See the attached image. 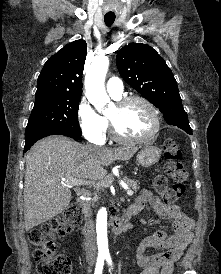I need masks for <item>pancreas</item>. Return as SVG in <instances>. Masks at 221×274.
Segmentation results:
<instances>
[{
  "label": "pancreas",
  "instance_id": "obj_1",
  "mask_svg": "<svg viewBox=\"0 0 221 274\" xmlns=\"http://www.w3.org/2000/svg\"><path fill=\"white\" fill-rule=\"evenodd\" d=\"M124 181L132 188L134 192H137L139 190L138 182L132 179H128L127 177H124ZM98 199L97 194H94L93 200L96 201Z\"/></svg>",
  "mask_w": 221,
  "mask_h": 274
}]
</instances>
